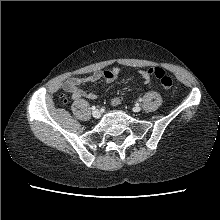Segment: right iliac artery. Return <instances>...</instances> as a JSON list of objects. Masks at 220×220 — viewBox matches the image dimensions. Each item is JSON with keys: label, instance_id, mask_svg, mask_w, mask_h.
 <instances>
[{"label": "right iliac artery", "instance_id": "obj_1", "mask_svg": "<svg viewBox=\"0 0 220 220\" xmlns=\"http://www.w3.org/2000/svg\"><path fill=\"white\" fill-rule=\"evenodd\" d=\"M92 110H95L96 109V107L95 106H92V108H91Z\"/></svg>", "mask_w": 220, "mask_h": 220}]
</instances>
